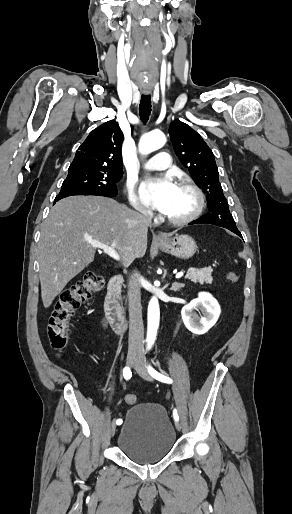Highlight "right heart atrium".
I'll list each match as a JSON object with an SVG mask.
<instances>
[{"label":"right heart atrium","instance_id":"d8ad5b80","mask_svg":"<svg viewBox=\"0 0 292 514\" xmlns=\"http://www.w3.org/2000/svg\"><path fill=\"white\" fill-rule=\"evenodd\" d=\"M136 184V180H134L131 177H127L125 189L128 194L131 205L135 209H142L143 212H145L147 208L142 198L136 192Z\"/></svg>","mask_w":292,"mask_h":514}]
</instances>
